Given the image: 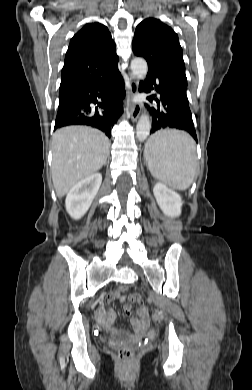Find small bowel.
Wrapping results in <instances>:
<instances>
[{
	"mask_svg": "<svg viewBox=\"0 0 252 390\" xmlns=\"http://www.w3.org/2000/svg\"><path fill=\"white\" fill-rule=\"evenodd\" d=\"M115 298H119L124 301L125 296L120 292H112L108 294L106 301L110 303ZM140 301V300H139ZM138 301V302H139ZM125 312L129 316L130 325L137 336H143L149 327V312L148 308L144 305H140L137 313L134 314L131 310V305L126 304L124 307ZM98 318L104 324H110L116 319L115 311L101 307L98 310Z\"/></svg>",
	"mask_w": 252,
	"mask_h": 390,
	"instance_id": "1",
	"label": "small bowel"
}]
</instances>
